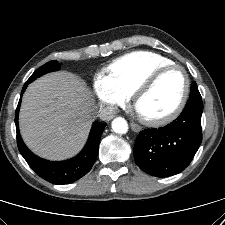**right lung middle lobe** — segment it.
Segmentation results:
<instances>
[{
	"mask_svg": "<svg viewBox=\"0 0 225 225\" xmlns=\"http://www.w3.org/2000/svg\"><path fill=\"white\" fill-rule=\"evenodd\" d=\"M60 68V64L55 61L52 60L50 62H47L46 64H44L42 67H40L38 70H36L31 77L28 79V81L32 82L33 80H35L36 78L48 73V72H52V71H56Z\"/></svg>",
	"mask_w": 225,
	"mask_h": 225,
	"instance_id": "dd1d6c3e",
	"label": "right lung middle lobe"
}]
</instances>
